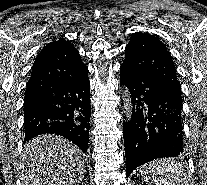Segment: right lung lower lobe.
Segmentation results:
<instances>
[{"label":"right lung lower lobe","instance_id":"right-lung-lower-lobe-1","mask_svg":"<svg viewBox=\"0 0 207 185\" xmlns=\"http://www.w3.org/2000/svg\"><path fill=\"white\" fill-rule=\"evenodd\" d=\"M88 72L24 99V143L40 134L61 135L86 152L90 126Z\"/></svg>","mask_w":207,"mask_h":185}]
</instances>
